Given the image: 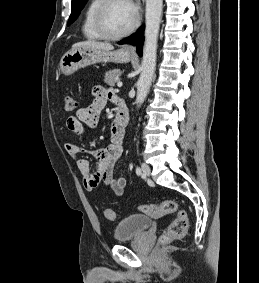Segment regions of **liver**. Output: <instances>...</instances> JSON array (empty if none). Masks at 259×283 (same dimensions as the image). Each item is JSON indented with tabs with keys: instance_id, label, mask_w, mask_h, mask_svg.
Returning a JSON list of instances; mask_svg holds the SVG:
<instances>
[{
	"instance_id": "liver-1",
	"label": "liver",
	"mask_w": 259,
	"mask_h": 283,
	"mask_svg": "<svg viewBox=\"0 0 259 283\" xmlns=\"http://www.w3.org/2000/svg\"><path fill=\"white\" fill-rule=\"evenodd\" d=\"M79 47H92L96 49H102V50H112L113 45L107 42H98V41H93V40H87V41H82L75 43L72 46V49L74 48H79Z\"/></svg>"
}]
</instances>
